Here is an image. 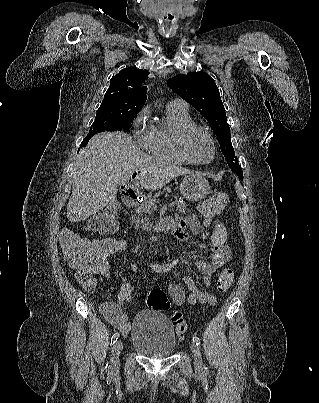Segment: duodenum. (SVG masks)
<instances>
[{
    "instance_id": "obj_1",
    "label": "duodenum",
    "mask_w": 319,
    "mask_h": 403,
    "mask_svg": "<svg viewBox=\"0 0 319 403\" xmlns=\"http://www.w3.org/2000/svg\"><path fill=\"white\" fill-rule=\"evenodd\" d=\"M123 202L129 208H137L141 205V198L137 196L135 191L129 190L123 194ZM175 221L171 218L162 219L156 222L151 228V234H157L160 232H166L174 230Z\"/></svg>"
}]
</instances>
